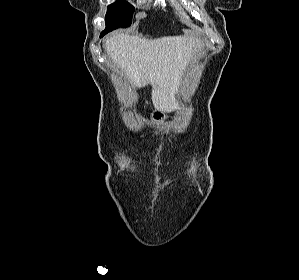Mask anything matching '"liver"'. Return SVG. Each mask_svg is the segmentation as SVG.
Listing matches in <instances>:
<instances>
[{
    "instance_id": "liver-1",
    "label": "liver",
    "mask_w": 299,
    "mask_h": 280,
    "mask_svg": "<svg viewBox=\"0 0 299 280\" xmlns=\"http://www.w3.org/2000/svg\"><path fill=\"white\" fill-rule=\"evenodd\" d=\"M194 37L169 36L146 39L127 34L107 38L105 51L134 87L151 84L156 110L171 112L179 107L175 97L186 66L201 50Z\"/></svg>"
}]
</instances>
